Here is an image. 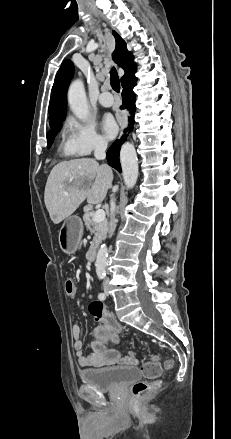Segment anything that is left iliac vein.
<instances>
[{
  "label": "left iliac vein",
  "mask_w": 231,
  "mask_h": 439,
  "mask_svg": "<svg viewBox=\"0 0 231 439\" xmlns=\"http://www.w3.org/2000/svg\"><path fill=\"white\" fill-rule=\"evenodd\" d=\"M105 293L106 295H108V287L105 289Z\"/></svg>",
  "instance_id": "obj_1"
}]
</instances>
